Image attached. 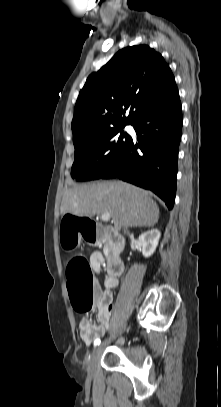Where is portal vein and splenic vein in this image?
<instances>
[{
	"label": "portal vein and splenic vein",
	"instance_id": "portal-vein-and-splenic-vein-1",
	"mask_svg": "<svg viewBox=\"0 0 221 407\" xmlns=\"http://www.w3.org/2000/svg\"><path fill=\"white\" fill-rule=\"evenodd\" d=\"M101 219L103 221H109L111 219V216L109 213H103V214H101Z\"/></svg>",
	"mask_w": 221,
	"mask_h": 407
}]
</instances>
